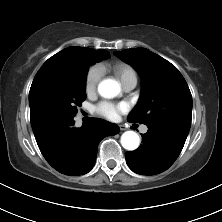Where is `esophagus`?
<instances>
[{
	"label": "esophagus",
	"mask_w": 222,
	"mask_h": 222,
	"mask_svg": "<svg viewBox=\"0 0 222 222\" xmlns=\"http://www.w3.org/2000/svg\"><path fill=\"white\" fill-rule=\"evenodd\" d=\"M119 128H120L121 131L126 130V127L124 125H119Z\"/></svg>",
	"instance_id": "obj_1"
}]
</instances>
